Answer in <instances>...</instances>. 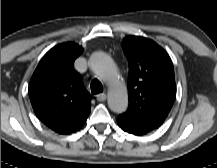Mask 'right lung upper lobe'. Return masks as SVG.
I'll return each mask as SVG.
<instances>
[{
	"instance_id": "right-lung-upper-lobe-1",
	"label": "right lung upper lobe",
	"mask_w": 217,
	"mask_h": 168,
	"mask_svg": "<svg viewBox=\"0 0 217 168\" xmlns=\"http://www.w3.org/2000/svg\"><path fill=\"white\" fill-rule=\"evenodd\" d=\"M83 52L76 43H62L39 62L29 84V96L37 117L59 134H71L86 122L91 96L73 68Z\"/></svg>"
}]
</instances>
